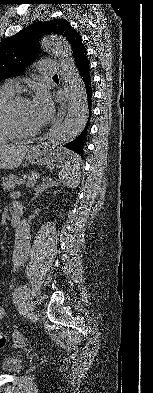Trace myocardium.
<instances>
[{
	"label": "myocardium",
	"instance_id": "obj_1",
	"mask_svg": "<svg viewBox=\"0 0 153 393\" xmlns=\"http://www.w3.org/2000/svg\"><path fill=\"white\" fill-rule=\"evenodd\" d=\"M27 102H28L27 98L20 97L15 100H12L7 108L6 111L7 127L15 137H26L36 133L35 129L29 131H23L18 121V116H17L18 107Z\"/></svg>",
	"mask_w": 153,
	"mask_h": 393
}]
</instances>
